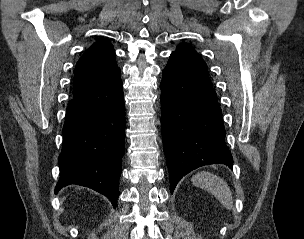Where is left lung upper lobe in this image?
<instances>
[{
	"instance_id": "left-lung-upper-lobe-1",
	"label": "left lung upper lobe",
	"mask_w": 304,
	"mask_h": 239,
	"mask_svg": "<svg viewBox=\"0 0 304 239\" xmlns=\"http://www.w3.org/2000/svg\"><path fill=\"white\" fill-rule=\"evenodd\" d=\"M173 54L178 55L197 70L207 73L206 63L191 46L180 44L177 46L176 51H174Z\"/></svg>"
}]
</instances>
